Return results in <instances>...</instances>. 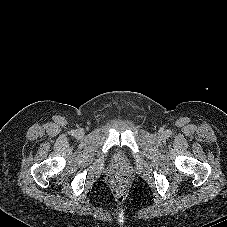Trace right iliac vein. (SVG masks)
Segmentation results:
<instances>
[{"label":"right iliac vein","mask_w":227,"mask_h":227,"mask_svg":"<svg viewBox=\"0 0 227 227\" xmlns=\"http://www.w3.org/2000/svg\"><path fill=\"white\" fill-rule=\"evenodd\" d=\"M76 136H77L78 138H81V137L83 136V131H82L81 129L77 130Z\"/></svg>","instance_id":"63e3f726"}]
</instances>
